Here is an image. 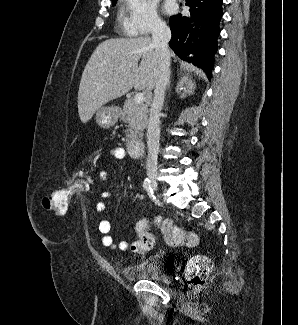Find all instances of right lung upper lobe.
Segmentation results:
<instances>
[{"label": "right lung upper lobe", "mask_w": 298, "mask_h": 325, "mask_svg": "<svg viewBox=\"0 0 298 325\" xmlns=\"http://www.w3.org/2000/svg\"><path fill=\"white\" fill-rule=\"evenodd\" d=\"M117 2V0H113V3Z\"/></svg>", "instance_id": "right-lung-upper-lobe-1"}]
</instances>
